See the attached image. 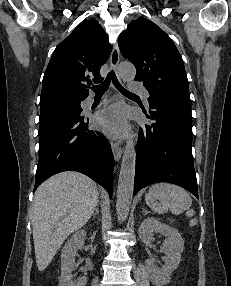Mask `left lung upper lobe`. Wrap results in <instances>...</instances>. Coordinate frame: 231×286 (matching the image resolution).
<instances>
[{"instance_id":"left-lung-upper-lobe-1","label":"left lung upper lobe","mask_w":231,"mask_h":286,"mask_svg":"<svg viewBox=\"0 0 231 286\" xmlns=\"http://www.w3.org/2000/svg\"><path fill=\"white\" fill-rule=\"evenodd\" d=\"M124 58L136 67V81L150 97L191 104L183 60L170 37L146 18L132 21L118 40Z\"/></svg>"}]
</instances>
